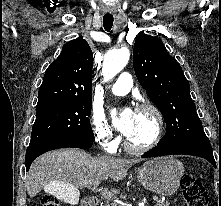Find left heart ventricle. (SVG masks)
Listing matches in <instances>:
<instances>
[{"label":"left heart ventricle","mask_w":221,"mask_h":206,"mask_svg":"<svg viewBox=\"0 0 221 206\" xmlns=\"http://www.w3.org/2000/svg\"><path fill=\"white\" fill-rule=\"evenodd\" d=\"M154 129L153 116L145 111H136L132 131L127 138L133 145H143L152 138Z\"/></svg>","instance_id":"obj_1"}]
</instances>
